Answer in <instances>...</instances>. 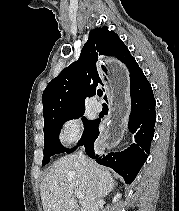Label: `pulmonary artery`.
Instances as JSON below:
<instances>
[{
    "instance_id": "obj_1",
    "label": "pulmonary artery",
    "mask_w": 179,
    "mask_h": 211,
    "mask_svg": "<svg viewBox=\"0 0 179 211\" xmlns=\"http://www.w3.org/2000/svg\"><path fill=\"white\" fill-rule=\"evenodd\" d=\"M92 107H93V110L95 112H101L102 111V104L97 100V99H94L93 102H92Z\"/></svg>"
}]
</instances>
